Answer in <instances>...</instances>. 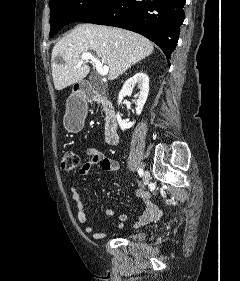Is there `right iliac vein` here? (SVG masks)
<instances>
[{
	"label": "right iliac vein",
	"instance_id": "obj_1",
	"mask_svg": "<svg viewBox=\"0 0 240 281\" xmlns=\"http://www.w3.org/2000/svg\"><path fill=\"white\" fill-rule=\"evenodd\" d=\"M150 181V174L148 171H145L144 175H143V184L147 185Z\"/></svg>",
	"mask_w": 240,
	"mask_h": 281
}]
</instances>
